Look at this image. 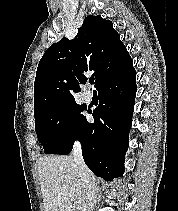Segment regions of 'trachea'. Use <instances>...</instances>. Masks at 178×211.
I'll return each mask as SVG.
<instances>
[{
	"label": "trachea",
	"instance_id": "3493384b",
	"mask_svg": "<svg viewBox=\"0 0 178 211\" xmlns=\"http://www.w3.org/2000/svg\"><path fill=\"white\" fill-rule=\"evenodd\" d=\"M89 83H90V84H93V83H94V78H90V79H89Z\"/></svg>",
	"mask_w": 178,
	"mask_h": 211
}]
</instances>
